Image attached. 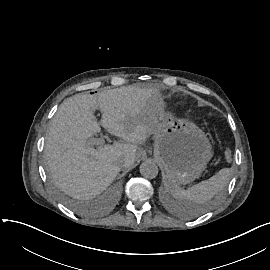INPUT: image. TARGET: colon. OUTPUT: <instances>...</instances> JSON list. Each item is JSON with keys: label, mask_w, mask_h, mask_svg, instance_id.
Segmentation results:
<instances>
[{"label": "colon", "mask_w": 270, "mask_h": 270, "mask_svg": "<svg viewBox=\"0 0 270 270\" xmlns=\"http://www.w3.org/2000/svg\"><path fill=\"white\" fill-rule=\"evenodd\" d=\"M221 158H222V160L225 161V162H231V161H233L234 158H235V153H234V151L231 150V149H225V150H223L222 153H221Z\"/></svg>", "instance_id": "1"}]
</instances>
